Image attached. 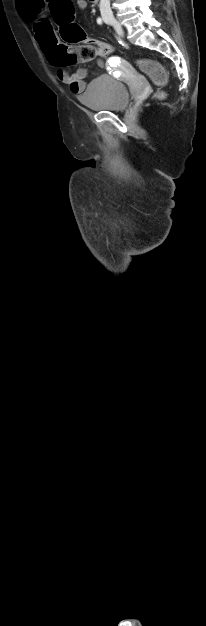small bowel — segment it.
<instances>
[{
  "mask_svg": "<svg viewBox=\"0 0 206 626\" xmlns=\"http://www.w3.org/2000/svg\"><path fill=\"white\" fill-rule=\"evenodd\" d=\"M77 7L80 10H85L88 6L86 0H77ZM46 22L37 21L34 24V35L35 39L42 50L43 54L46 56L47 60L53 65L58 67L57 77L58 79L69 86L71 92L75 94H80L84 91L86 83L85 79L87 77V70L84 68H80L76 70L74 73H69L67 70L63 69L60 65H58L55 61L57 48L60 45L51 30L50 27L48 29H43V25H46ZM48 25V24H47ZM49 26V25H48ZM111 61L116 62V66L120 67L122 70L128 69V63L125 60H122L117 57H111Z\"/></svg>",
  "mask_w": 206,
  "mask_h": 626,
  "instance_id": "1",
  "label": "small bowel"
}]
</instances>
